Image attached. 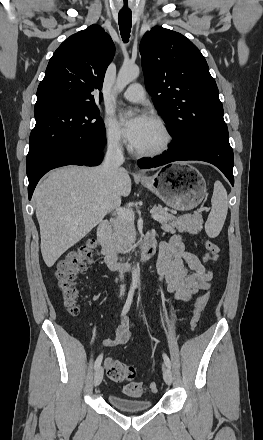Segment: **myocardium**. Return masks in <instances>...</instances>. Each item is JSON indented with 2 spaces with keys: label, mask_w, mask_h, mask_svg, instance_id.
I'll return each mask as SVG.
<instances>
[{
  "label": "myocardium",
  "mask_w": 263,
  "mask_h": 440,
  "mask_svg": "<svg viewBox=\"0 0 263 440\" xmlns=\"http://www.w3.org/2000/svg\"><path fill=\"white\" fill-rule=\"evenodd\" d=\"M149 120L159 128L163 135V141L159 146L148 150H140L133 147L134 154L139 157H155L162 155L171 148L174 142V135L170 127L162 118L158 116H151Z\"/></svg>",
  "instance_id": "1"
}]
</instances>
